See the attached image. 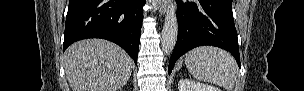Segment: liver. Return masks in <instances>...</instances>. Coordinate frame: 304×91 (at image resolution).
I'll list each match as a JSON object with an SVG mask.
<instances>
[{
    "mask_svg": "<svg viewBox=\"0 0 304 91\" xmlns=\"http://www.w3.org/2000/svg\"><path fill=\"white\" fill-rule=\"evenodd\" d=\"M64 66L72 91H119L131 76L133 61L112 42L87 39L67 48Z\"/></svg>",
    "mask_w": 304,
    "mask_h": 91,
    "instance_id": "6515ba94",
    "label": "liver"
}]
</instances>
